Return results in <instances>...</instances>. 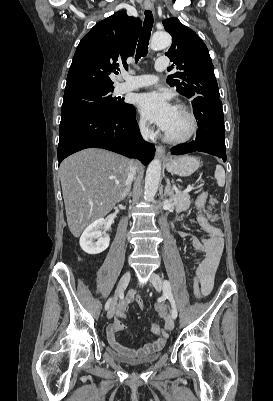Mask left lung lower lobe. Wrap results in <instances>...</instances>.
<instances>
[{
  "label": "left lung lower lobe",
  "instance_id": "1",
  "mask_svg": "<svg viewBox=\"0 0 273 401\" xmlns=\"http://www.w3.org/2000/svg\"><path fill=\"white\" fill-rule=\"evenodd\" d=\"M192 105L199 125L196 140L173 147L172 154L201 151L226 161L225 127L221 100L215 97L197 96L193 99Z\"/></svg>",
  "mask_w": 273,
  "mask_h": 401
}]
</instances>
